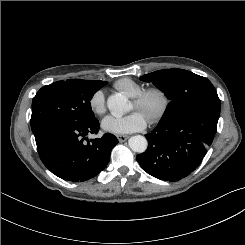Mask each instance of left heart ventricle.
<instances>
[{
    "mask_svg": "<svg viewBox=\"0 0 245 245\" xmlns=\"http://www.w3.org/2000/svg\"><path fill=\"white\" fill-rule=\"evenodd\" d=\"M159 100L157 98H153L149 101L148 105L143 109H137L135 104L132 103V109L138 110L145 118L150 114L155 112L159 107Z\"/></svg>",
    "mask_w": 245,
    "mask_h": 245,
    "instance_id": "b2bd125f",
    "label": "left heart ventricle"
}]
</instances>
